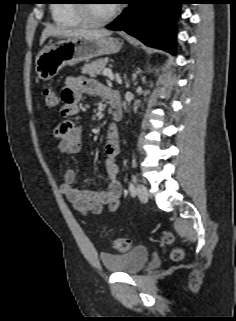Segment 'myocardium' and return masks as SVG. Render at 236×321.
Here are the masks:
<instances>
[{
	"instance_id": "obj_1",
	"label": "myocardium",
	"mask_w": 236,
	"mask_h": 321,
	"mask_svg": "<svg viewBox=\"0 0 236 321\" xmlns=\"http://www.w3.org/2000/svg\"><path fill=\"white\" fill-rule=\"evenodd\" d=\"M92 0H78L77 9L80 15L83 17L85 23L90 26H102L113 21L120 13V7L114 5L111 12L104 18H96L91 13Z\"/></svg>"
}]
</instances>
